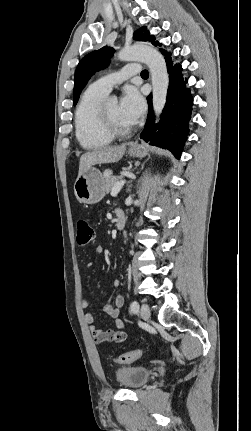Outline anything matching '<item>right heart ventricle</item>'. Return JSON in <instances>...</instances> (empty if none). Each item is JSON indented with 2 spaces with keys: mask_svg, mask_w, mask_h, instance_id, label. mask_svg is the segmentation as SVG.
<instances>
[{
  "mask_svg": "<svg viewBox=\"0 0 251 431\" xmlns=\"http://www.w3.org/2000/svg\"><path fill=\"white\" fill-rule=\"evenodd\" d=\"M106 93L89 86L82 94L75 110V135L84 149L92 150L107 146L113 140L100 124V107Z\"/></svg>",
  "mask_w": 251,
  "mask_h": 431,
  "instance_id": "obj_1",
  "label": "right heart ventricle"
}]
</instances>
